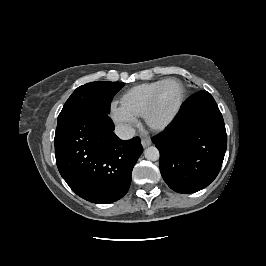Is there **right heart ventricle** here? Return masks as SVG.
Instances as JSON below:
<instances>
[{
    "label": "right heart ventricle",
    "instance_id": "1",
    "mask_svg": "<svg viewBox=\"0 0 266 266\" xmlns=\"http://www.w3.org/2000/svg\"><path fill=\"white\" fill-rule=\"evenodd\" d=\"M164 80L143 83L129 89L121 98L122 106L134 116H143L154 91Z\"/></svg>",
    "mask_w": 266,
    "mask_h": 266
}]
</instances>
